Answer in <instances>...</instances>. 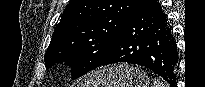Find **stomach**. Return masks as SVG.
Instances as JSON below:
<instances>
[{"label": "stomach", "mask_w": 205, "mask_h": 87, "mask_svg": "<svg viewBox=\"0 0 205 87\" xmlns=\"http://www.w3.org/2000/svg\"><path fill=\"white\" fill-rule=\"evenodd\" d=\"M81 87H148L147 74L138 67L120 64L92 72Z\"/></svg>", "instance_id": "1"}]
</instances>
